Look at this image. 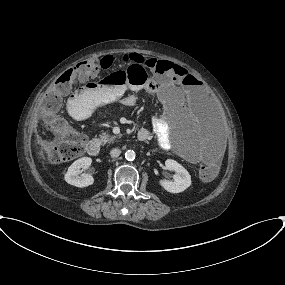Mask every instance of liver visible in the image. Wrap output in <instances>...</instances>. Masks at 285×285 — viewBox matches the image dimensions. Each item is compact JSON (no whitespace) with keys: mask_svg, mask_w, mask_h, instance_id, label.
Masks as SVG:
<instances>
[{"mask_svg":"<svg viewBox=\"0 0 285 285\" xmlns=\"http://www.w3.org/2000/svg\"><path fill=\"white\" fill-rule=\"evenodd\" d=\"M41 145L44 147L46 152L49 153L56 146V142H55V140H53V141L44 140L41 142Z\"/></svg>","mask_w":285,"mask_h":285,"instance_id":"liver-1","label":"liver"}]
</instances>
